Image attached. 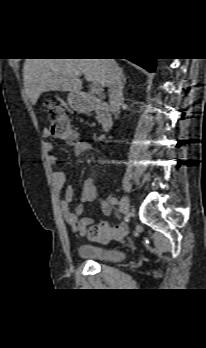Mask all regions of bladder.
I'll return each mask as SVG.
<instances>
[{
	"instance_id": "1",
	"label": "bladder",
	"mask_w": 206,
	"mask_h": 348,
	"mask_svg": "<svg viewBox=\"0 0 206 348\" xmlns=\"http://www.w3.org/2000/svg\"><path fill=\"white\" fill-rule=\"evenodd\" d=\"M77 255L86 260L101 261H120L126 257V253L119 248L98 247L88 244L80 245L77 249Z\"/></svg>"
}]
</instances>
